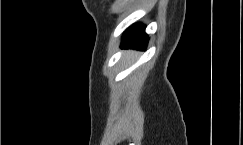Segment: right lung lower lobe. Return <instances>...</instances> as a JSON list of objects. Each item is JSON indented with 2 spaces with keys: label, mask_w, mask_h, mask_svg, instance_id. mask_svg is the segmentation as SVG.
I'll return each mask as SVG.
<instances>
[{
  "label": "right lung lower lobe",
  "mask_w": 243,
  "mask_h": 145,
  "mask_svg": "<svg viewBox=\"0 0 243 145\" xmlns=\"http://www.w3.org/2000/svg\"><path fill=\"white\" fill-rule=\"evenodd\" d=\"M144 30L145 26L141 24L130 27L123 36L121 48L145 49L148 36Z\"/></svg>",
  "instance_id": "obj_1"
}]
</instances>
